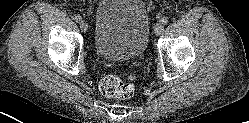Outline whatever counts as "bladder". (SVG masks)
<instances>
[{"label": "bladder", "mask_w": 249, "mask_h": 123, "mask_svg": "<svg viewBox=\"0 0 249 123\" xmlns=\"http://www.w3.org/2000/svg\"><path fill=\"white\" fill-rule=\"evenodd\" d=\"M150 21L142 0H104L97 8L94 47L109 60H128L145 51Z\"/></svg>", "instance_id": "obj_1"}]
</instances>
